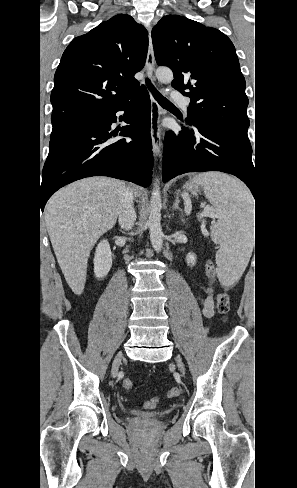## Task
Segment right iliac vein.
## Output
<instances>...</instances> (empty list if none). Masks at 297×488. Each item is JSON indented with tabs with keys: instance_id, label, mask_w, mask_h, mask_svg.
Instances as JSON below:
<instances>
[{
	"instance_id": "obj_1",
	"label": "right iliac vein",
	"mask_w": 297,
	"mask_h": 488,
	"mask_svg": "<svg viewBox=\"0 0 297 488\" xmlns=\"http://www.w3.org/2000/svg\"><path fill=\"white\" fill-rule=\"evenodd\" d=\"M123 358V355L122 353H118L117 356L115 357L114 361H113V365H112V373L115 374L118 372V368H119V365L121 363V360Z\"/></svg>"
}]
</instances>
